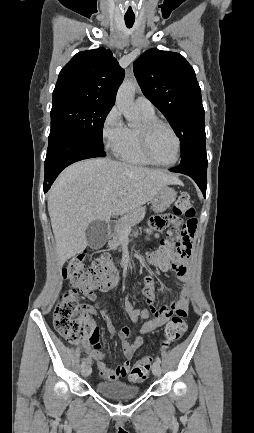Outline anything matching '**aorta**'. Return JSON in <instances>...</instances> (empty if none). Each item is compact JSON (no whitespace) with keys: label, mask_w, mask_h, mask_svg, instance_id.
<instances>
[{"label":"aorta","mask_w":254,"mask_h":433,"mask_svg":"<svg viewBox=\"0 0 254 433\" xmlns=\"http://www.w3.org/2000/svg\"><path fill=\"white\" fill-rule=\"evenodd\" d=\"M136 87V81L125 80L120 86L116 96V105L118 109L130 122H135L138 119V112L134 106V95Z\"/></svg>","instance_id":"762f6f07"}]
</instances>
